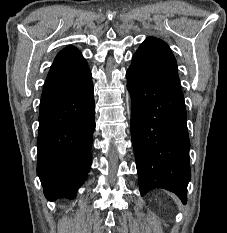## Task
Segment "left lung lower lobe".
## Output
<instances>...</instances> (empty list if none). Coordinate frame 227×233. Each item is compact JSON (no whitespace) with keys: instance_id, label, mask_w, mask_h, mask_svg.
<instances>
[{"instance_id":"left-lung-lower-lobe-1","label":"left lung lower lobe","mask_w":227,"mask_h":233,"mask_svg":"<svg viewBox=\"0 0 227 233\" xmlns=\"http://www.w3.org/2000/svg\"><path fill=\"white\" fill-rule=\"evenodd\" d=\"M126 78L132 98L130 126L140 193L163 188L185 204L191 169L183 93L131 68Z\"/></svg>"}]
</instances>
